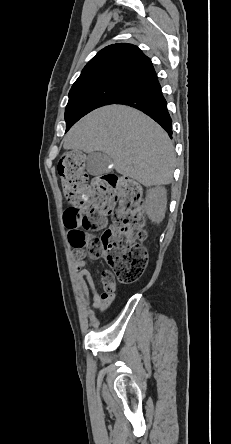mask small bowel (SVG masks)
Here are the masks:
<instances>
[{
  "label": "small bowel",
  "instance_id": "c3829d8e",
  "mask_svg": "<svg viewBox=\"0 0 231 444\" xmlns=\"http://www.w3.org/2000/svg\"><path fill=\"white\" fill-rule=\"evenodd\" d=\"M68 238L70 244L76 248L75 264L77 268V277L83 299L85 304L89 305L92 301V307L100 312L106 311L115 301V295L99 293L95 287V279L92 277L90 271L85 268V254L81 250L83 234L77 231H68Z\"/></svg>",
  "mask_w": 231,
  "mask_h": 444
}]
</instances>
